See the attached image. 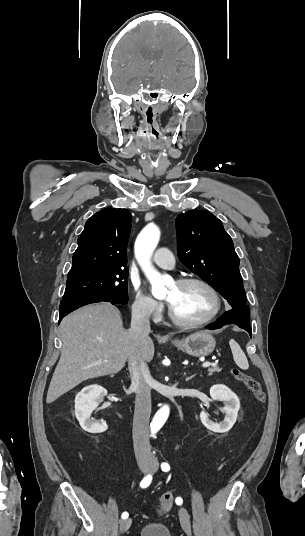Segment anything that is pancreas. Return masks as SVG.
<instances>
[{
  "mask_svg": "<svg viewBox=\"0 0 305 536\" xmlns=\"http://www.w3.org/2000/svg\"><path fill=\"white\" fill-rule=\"evenodd\" d=\"M222 368H218V366H216V368H209L208 372H210V374H212V372H221Z\"/></svg>",
  "mask_w": 305,
  "mask_h": 536,
  "instance_id": "obj_1",
  "label": "pancreas"
}]
</instances>
